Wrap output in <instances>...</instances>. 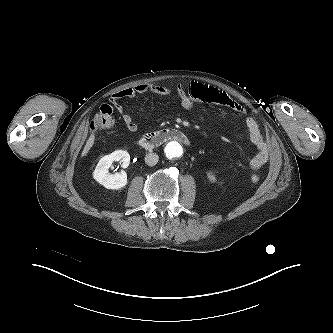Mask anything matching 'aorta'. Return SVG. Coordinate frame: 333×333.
I'll use <instances>...</instances> for the list:
<instances>
[{
	"label": "aorta",
	"instance_id": "obj_1",
	"mask_svg": "<svg viewBox=\"0 0 333 333\" xmlns=\"http://www.w3.org/2000/svg\"><path fill=\"white\" fill-rule=\"evenodd\" d=\"M165 153L168 158L177 159L183 155V146L178 141H172L167 144Z\"/></svg>",
	"mask_w": 333,
	"mask_h": 333
}]
</instances>
